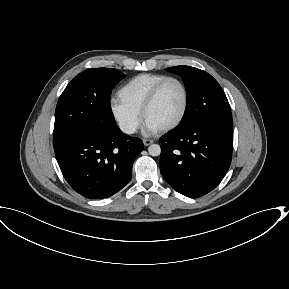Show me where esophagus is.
I'll list each match as a JSON object with an SVG mask.
<instances>
[{
  "instance_id": "esophagus-1",
  "label": "esophagus",
  "mask_w": 289,
  "mask_h": 289,
  "mask_svg": "<svg viewBox=\"0 0 289 289\" xmlns=\"http://www.w3.org/2000/svg\"><path fill=\"white\" fill-rule=\"evenodd\" d=\"M153 143V140H151V139H144L143 140V144L145 145V146H149V145H151Z\"/></svg>"
}]
</instances>
